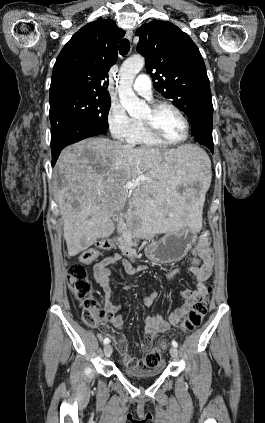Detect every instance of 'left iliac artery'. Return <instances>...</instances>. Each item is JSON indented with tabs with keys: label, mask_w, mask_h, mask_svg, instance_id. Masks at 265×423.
<instances>
[{
	"label": "left iliac artery",
	"mask_w": 265,
	"mask_h": 423,
	"mask_svg": "<svg viewBox=\"0 0 265 423\" xmlns=\"http://www.w3.org/2000/svg\"><path fill=\"white\" fill-rule=\"evenodd\" d=\"M172 345H173L174 347H178V343H177L175 340H173V341H172Z\"/></svg>",
	"instance_id": "44dca946"
}]
</instances>
